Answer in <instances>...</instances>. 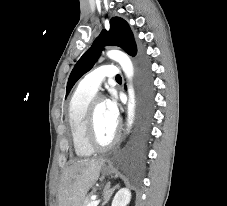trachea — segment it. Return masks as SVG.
Segmentation results:
<instances>
[{"label":"trachea","instance_id":"obj_1","mask_svg":"<svg viewBox=\"0 0 227 206\" xmlns=\"http://www.w3.org/2000/svg\"><path fill=\"white\" fill-rule=\"evenodd\" d=\"M116 80H122L121 76L120 75H117L116 76Z\"/></svg>","mask_w":227,"mask_h":206}]
</instances>
